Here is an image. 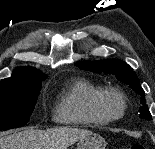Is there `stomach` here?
I'll use <instances>...</instances> for the list:
<instances>
[{"mask_svg": "<svg viewBox=\"0 0 155 149\" xmlns=\"http://www.w3.org/2000/svg\"><path fill=\"white\" fill-rule=\"evenodd\" d=\"M105 139L99 134L90 133L78 140L76 149H105Z\"/></svg>", "mask_w": 155, "mask_h": 149, "instance_id": "stomach-1", "label": "stomach"}]
</instances>
